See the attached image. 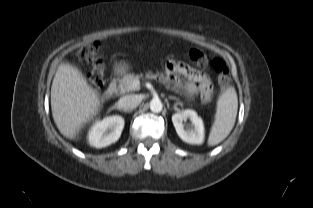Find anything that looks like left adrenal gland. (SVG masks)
<instances>
[{"label": "left adrenal gland", "mask_w": 313, "mask_h": 208, "mask_svg": "<svg viewBox=\"0 0 313 208\" xmlns=\"http://www.w3.org/2000/svg\"><path fill=\"white\" fill-rule=\"evenodd\" d=\"M169 99L176 100V101H178V103L180 104L179 99H178L177 97L169 96Z\"/></svg>", "instance_id": "obj_1"}]
</instances>
